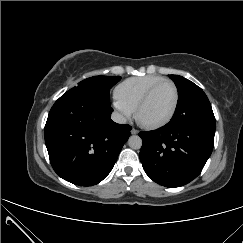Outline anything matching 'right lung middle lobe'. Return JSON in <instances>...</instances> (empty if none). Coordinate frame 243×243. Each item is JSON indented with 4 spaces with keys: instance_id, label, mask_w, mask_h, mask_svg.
<instances>
[{
    "instance_id": "obj_1",
    "label": "right lung middle lobe",
    "mask_w": 243,
    "mask_h": 243,
    "mask_svg": "<svg viewBox=\"0 0 243 243\" xmlns=\"http://www.w3.org/2000/svg\"><path fill=\"white\" fill-rule=\"evenodd\" d=\"M120 76H94L78 83V85L68 92L80 91L88 92L102 100L109 101L110 89L120 81Z\"/></svg>"
}]
</instances>
